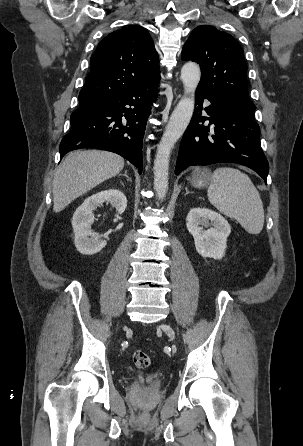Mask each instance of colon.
<instances>
[{
  "label": "colon",
  "mask_w": 303,
  "mask_h": 446,
  "mask_svg": "<svg viewBox=\"0 0 303 446\" xmlns=\"http://www.w3.org/2000/svg\"><path fill=\"white\" fill-rule=\"evenodd\" d=\"M133 363L138 369H146L149 367L151 360L149 355L141 350H136L132 356Z\"/></svg>",
  "instance_id": "obj_1"
}]
</instances>
